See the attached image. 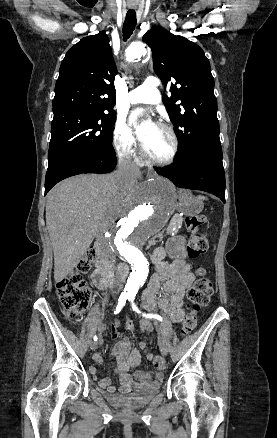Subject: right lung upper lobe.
Here are the masks:
<instances>
[{
  "label": "right lung upper lobe",
  "instance_id": "right-lung-upper-lobe-1",
  "mask_svg": "<svg viewBox=\"0 0 277 438\" xmlns=\"http://www.w3.org/2000/svg\"><path fill=\"white\" fill-rule=\"evenodd\" d=\"M116 74L105 32L81 39L61 63L53 99L54 116L115 114Z\"/></svg>",
  "mask_w": 277,
  "mask_h": 438
}]
</instances>
